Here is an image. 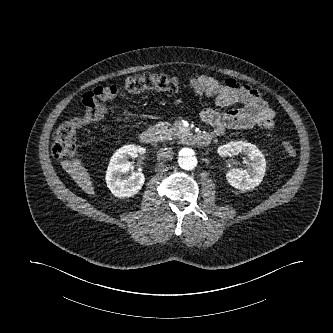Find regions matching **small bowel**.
<instances>
[{"mask_svg":"<svg viewBox=\"0 0 333 333\" xmlns=\"http://www.w3.org/2000/svg\"><path fill=\"white\" fill-rule=\"evenodd\" d=\"M189 87L196 96L205 94L215 98L219 107L241 103L242 108H232L221 112L205 108L200 113L202 122L213 128L218 136L227 128L270 129L274 122V111L268 106L260 93L236 79L228 78L222 82L208 75H198L190 79Z\"/></svg>","mask_w":333,"mask_h":333,"instance_id":"obj_1","label":"small bowel"}]
</instances>
